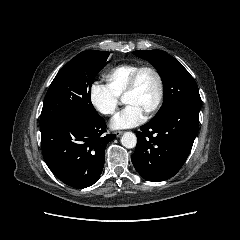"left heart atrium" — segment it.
Returning a JSON list of instances; mask_svg holds the SVG:
<instances>
[{"label":"left heart atrium","mask_w":240,"mask_h":240,"mask_svg":"<svg viewBox=\"0 0 240 240\" xmlns=\"http://www.w3.org/2000/svg\"><path fill=\"white\" fill-rule=\"evenodd\" d=\"M143 119L142 110L129 104L113 117L111 126L115 129L131 128L139 125Z\"/></svg>","instance_id":"left-heart-atrium-1"}]
</instances>
